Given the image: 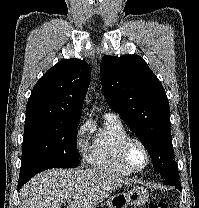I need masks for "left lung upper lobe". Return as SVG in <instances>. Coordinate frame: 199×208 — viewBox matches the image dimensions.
Segmentation results:
<instances>
[{"mask_svg":"<svg viewBox=\"0 0 199 208\" xmlns=\"http://www.w3.org/2000/svg\"><path fill=\"white\" fill-rule=\"evenodd\" d=\"M103 94L152 157L163 178L179 176L170 131V108L161 82L140 56H104L100 65Z\"/></svg>","mask_w":199,"mask_h":208,"instance_id":"1","label":"left lung upper lobe"}]
</instances>
